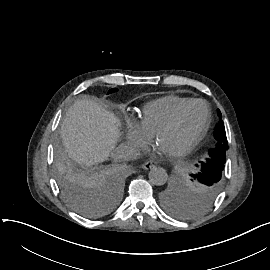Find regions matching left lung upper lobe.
<instances>
[{
  "mask_svg": "<svg viewBox=\"0 0 270 270\" xmlns=\"http://www.w3.org/2000/svg\"><path fill=\"white\" fill-rule=\"evenodd\" d=\"M218 116L222 117L220 110ZM214 137L217 145L209 151L206 160L196 165L199 167V172L192 174L191 179L180 191H172L163 196L164 206L174 215L181 217L194 215L205 209L218 194L222 185V173L228 149L222 120L215 128Z\"/></svg>",
  "mask_w": 270,
  "mask_h": 270,
  "instance_id": "left-lung-upper-lobe-1",
  "label": "left lung upper lobe"
}]
</instances>
